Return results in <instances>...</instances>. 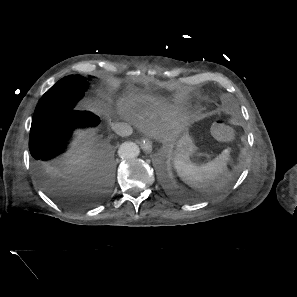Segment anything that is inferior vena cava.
I'll return each instance as SVG.
<instances>
[{"mask_svg": "<svg viewBox=\"0 0 297 297\" xmlns=\"http://www.w3.org/2000/svg\"><path fill=\"white\" fill-rule=\"evenodd\" d=\"M114 132L122 137L132 134V127L128 123L120 122L112 124Z\"/></svg>", "mask_w": 297, "mask_h": 297, "instance_id": "obj_1", "label": "inferior vena cava"}]
</instances>
